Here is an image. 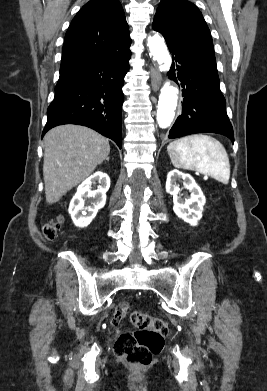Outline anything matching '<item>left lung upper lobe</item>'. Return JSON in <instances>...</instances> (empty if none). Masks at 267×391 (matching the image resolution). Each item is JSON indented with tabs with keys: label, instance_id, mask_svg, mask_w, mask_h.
I'll return each mask as SVG.
<instances>
[{
	"label": "left lung upper lobe",
	"instance_id": "5c2ea615",
	"mask_svg": "<svg viewBox=\"0 0 267 391\" xmlns=\"http://www.w3.org/2000/svg\"><path fill=\"white\" fill-rule=\"evenodd\" d=\"M153 29L168 43L215 59L209 28L199 9L189 1L161 0Z\"/></svg>",
	"mask_w": 267,
	"mask_h": 391
}]
</instances>
